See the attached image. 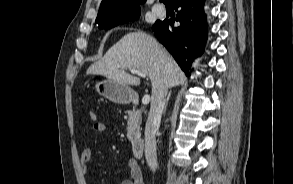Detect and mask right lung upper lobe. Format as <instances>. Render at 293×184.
<instances>
[{"label": "right lung upper lobe", "mask_w": 293, "mask_h": 184, "mask_svg": "<svg viewBox=\"0 0 293 184\" xmlns=\"http://www.w3.org/2000/svg\"><path fill=\"white\" fill-rule=\"evenodd\" d=\"M145 1L146 0H102L96 23L101 26L140 13V4Z\"/></svg>", "instance_id": "cb5924a9"}]
</instances>
